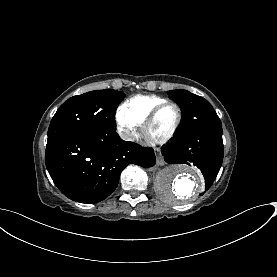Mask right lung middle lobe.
<instances>
[{"label":"right lung middle lobe","mask_w":277,"mask_h":277,"mask_svg":"<svg viewBox=\"0 0 277 277\" xmlns=\"http://www.w3.org/2000/svg\"><path fill=\"white\" fill-rule=\"evenodd\" d=\"M124 96L123 92L105 89L71 97L52 118L47 141L94 129L116 130L115 112Z\"/></svg>","instance_id":"1"}]
</instances>
